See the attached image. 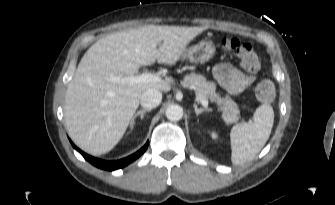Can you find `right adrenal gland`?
<instances>
[{"label": "right adrenal gland", "instance_id": "obj_1", "mask_svg": "<svg viewBox=\"0 0 335 205\" xmlns=\"http://www.w3.org/2000/svg\"><path fill=\"white\" fill-rule=\"evenodd\" d=\"M151 110L150 109H141L139 111H137L133 118L131 119V122H130V129L132 130L133 129V126L135 124V119L140 116V119L142 120L144 118V114L147 113V112H150Z\"/></svg>", "mask_w": 335, "mask_h": 205}]
</instances>
